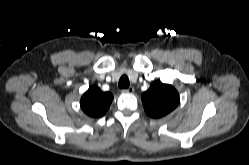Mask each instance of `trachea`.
<instances>
[{
    "label": "trachea",
    "instance_id": "1",
    "mask_svg": "<svg viewBox=\"0 0 249 165\" xmlns=\"http://www.w3.org/2000/svg\"><path fill=\"white\" fill-rule=\"evenodd\" d=\"M130 82H129V78L126 75H123L120 80H119V88L120 89H127L129 88Z\"/></svg>",
    "mask_w": 249,
    "mask_h": 165
}]
</instances>
